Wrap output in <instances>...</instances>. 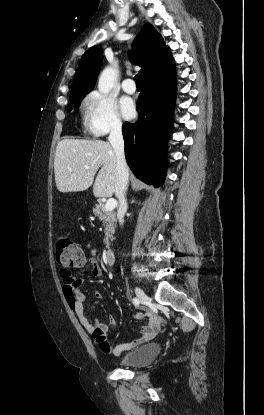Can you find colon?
Wrapping results in <instances>:
<instances>
[{
    "label": "colon",
    "instance_id": "1",
    "mask_svg": "<svg viewBox=\"0 0 264 415\" xmlns=\"http://www.w3.org/2000/svg\"><path fill=\"white\" fill-rule=\"evenodd\" d=\"M56 259L64 269L70 270L71 267L83 263L85 255L70 237L63 236L57 242ZM66 297L70 302L73 299L70 293L66 294Z\"/></svg>",
    "mask_w": 264,
    "mask_h": 415
}]
</instances>
